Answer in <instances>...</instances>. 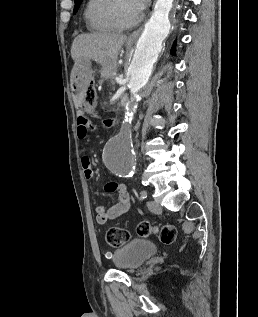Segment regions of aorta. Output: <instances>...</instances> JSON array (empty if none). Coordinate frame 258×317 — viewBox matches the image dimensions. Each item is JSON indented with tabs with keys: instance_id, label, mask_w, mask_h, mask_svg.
Listing matches in <instances>:
<instances>
[{
	"instance_id": "762f6f07",
	"label": "aorta",
	"mask_w": 258,
	"mask_h": 317,
	"mask_svg": "<svg viewBox=\"0 0 258 317\" xmlns=\"http://www.w3.org/2000/svg\"><path fill=\"white\" fill-rule=\"evenodd\" d=\"M172 7L173 0H157L153 14L137 42L128 69V88L135 98L147 84L153 65L162 50V43L170 32L169 13ZM137 108V101H132L126 106L125 118L119 133L112 137L104 148L103 160L106 167L119 177H131L134 173L136 159L132 146L131 123Z\"/></svg>"
}]
</instances>
